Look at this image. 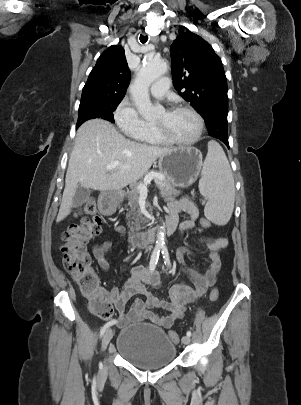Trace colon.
Instances as JSON below:
<instances>
[{"label":"colon","instance_id":"obj_1","mask_svg":"<svg viewBox=\"0 0 301 405\" xmlns=\"http://www.w3.org/2000/svg\"><path fill=\"white\" fill-rule=\"evenodd\" d=\"M202 228H209L211 223L206 218L199 220ZM102 230V218L97 214L95 202L88 201L80 212V223L70 225L63 233L62 246L63 266L72 275L83 296L87 299L91 311L98 317L106 319L112 314V309L106 296L99 287V280L92 268L91 257L86 245L91 238ZM219 290L213 288L209 299L215 302ZM169 337L174 343H179V335L171 330Z\"/></svg>","mask_w":301,"mask_h":405}]
</instances>
